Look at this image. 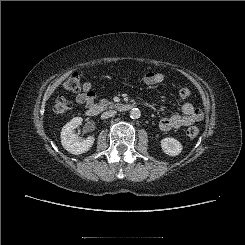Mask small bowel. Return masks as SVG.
I'll return each instance as SVG.
<instances>
[{"instance_id":"small-bowel-1","label":"small bowel","mask_w":245,"mask_h":245,"mask_svg":"<svg viewBox=\"0 0 245 245\" xmlns=\"http://www.w3.org/2000/svg\"><path fill=\"white\" fill-rule=\"evenodd\" d=\"M164 75L159 72H147L143 77V82L147 85H157L162 83ZM95 99V93L90 82H85L82 91L77 94L76 101L79 104L88 105ZM203 118L201 109L186 102L182 106V114H173L160 120L159 127L162 131H170L184 126H189Z\"/></svg>"}]
</instances>
